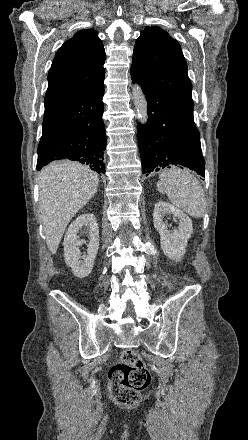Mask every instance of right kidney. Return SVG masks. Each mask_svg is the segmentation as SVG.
<instances>
[{"label": "right kidney", "instance_id": "right-kidney-1", "mask_svg": "<svg viewBox=\"0 0 248 440\" xmlns=\"http://www.w3.org/2000/svg\"><path fill=\"white\" fill-rule=\"evenodd\" d=\"M89 236L87 255H81L79 246L82 241L78 239L79 231ZM64 258L73 274L78 278L87 277L95 262L99 248V229L96 218L91 213L78 216L69 226L64 237ZM83 259V260H81Z\"/></svg>", "mask_w": 248, "mask_h": 440}]
</instances>
